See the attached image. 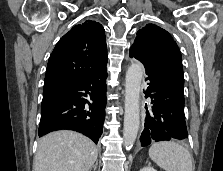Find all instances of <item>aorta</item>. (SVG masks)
Returning a JSON list of instances; mask_svg holds the SVG:
<instances>
[{
  "label": "aorta",
  "instance_id": "obj_1",
  "mask_svg": "<svg viewBox=\"0 0 223 171\" xmlns=\"http://www.w3.org/2000/svg\"><path fill=\"white\" fill-rule=\"evenodd\" d=\"M144 66L134 62L128 68L125 82V112L123 141L126 148L133 146L140 124V90Z\"/></svg>",
  "mask_w": 223,
  "mask_h": 171
}]
</instances>
